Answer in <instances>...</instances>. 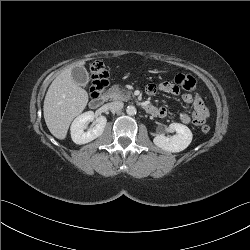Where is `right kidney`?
<instances>
[{"instance_id": "1", "label": "right kidney", "mask_w": 250, "mask_h": 250, "mask_svg": "<svg viewBox=\"0 0 250 250\" xmlns=\"http://www.w3.org/2000/svg\"><path fill=\"white\" fill-rule=\"evenodd\" d=\"M93 120L94 112L92 111L85 112L74 119L70 128L71 138L74 143L79 145L86 144L103 134L107 123L105 116H99L96 119V125L88 131H85V124Z\"/></svg>"}]
</instances>
